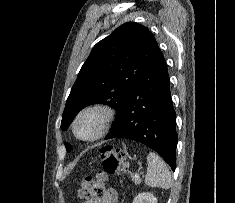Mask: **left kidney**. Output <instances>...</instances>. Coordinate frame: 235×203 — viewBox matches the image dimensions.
I'll list each match as a JSON object with an SVG mask.
<instances>
[{
    "label": "left kidney",
    "instance_id": "5707ae66",
    "mask_svg": "<svg viewBox=\"0 0 235 203\" xmlns=\"http://www.w3.org/2000/svg\"><path fill=\"white\" fill-rule=\"evenodd\" d=\"M132 203H157V198L151 193L143 192L138 194Z\"/></svg>",
    "mask_w": 235,
    "mask_h": 203
}]
</instances>
